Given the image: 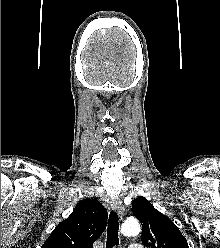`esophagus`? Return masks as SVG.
I'll return each mask as SVG.
<instances>
[{
  "instance_id": "1",
  "label": "esophagus",
  "mask_w": 220,
  "mask_h": 248,
  "mask_svg": "<svg viewBox=\"0 0 220 248\" xmlns=\"http://www.w3.org/2000/svg\"><path fill=\"white\" fill-rule=\"evenodd\" d=\"M111 207L114 211H116L119 215L123 216L125 208L122 202L118 198H114L110 201Z\"/></svg>"
}]
</instances>
